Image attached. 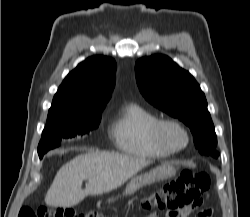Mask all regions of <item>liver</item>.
Here are the masks:
<instances>
[{"instance_id": "6515ba94", "label": "liver", "mask_w": 250, "mask_h": 217, "mask_svg": "<svg viewBox=\"0 0 250 217\" xmlns=\"http://www.w3.org/2000/svg\"><path fill=\"white\" fill-rule=\"evenodd\" d=\"M144 158L90 151L64 164L50 186L45 202L54 207H72L88 195L110 192L149 165ZM83 180H87L82 189Z\"/></svg>"}]
</instances>
